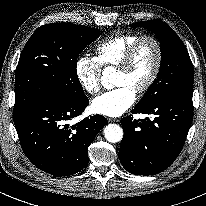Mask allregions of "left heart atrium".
Instances as JSON below:
<instances>
[{
	"mask_svg": "<svg viewBox=\"0 0 206 206\" xmlns=\"http://www.w3.org/2000/svg\"><path fill=\"white\" fill-rule=\"evenodd\" d=\"M136 92L127 86L108 91L91 103V110L96 114L118 117L125 113L135 102Z\"/></svg>",
	"mask_w": 206,
	"mask_h": 206,
	"instance_id": "obj_1",
	"label": "left heart atrium"
}]
</instances>
